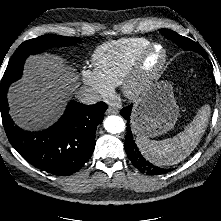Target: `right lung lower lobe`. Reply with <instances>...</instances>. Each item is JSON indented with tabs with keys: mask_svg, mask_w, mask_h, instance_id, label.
<instances>
[{
	"mask_svg": "<svg viewBox=\"0 0 221 221\" xmlns=\"http://www.w3.org/2000/svg\"><path fill=\"white\" fill-rule=\"evenodd\" d=\"M8 88L9 85L1 86L0 110L11 145L38 169L59 176L77 172L94 151L96 129L108 106L104 102L84 105L71 101L53 126L39 132H28L15 126L8 114Z\"/></svg>",
	"mask_w": 221,
	"mask_h": 221,
	"instance_id": "98d812e1",
	"label": "right lung lower lobe"
}]
</instances>
